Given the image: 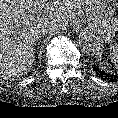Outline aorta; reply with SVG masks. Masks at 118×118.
Listing matches in <instances>:
<instances>
[{
    "mask_svg": "<svg viewBox=\"0 0 118 118\" xmlns=\"http://www.w3.org/2000/svg\"><path fill=\"white\" fill-rule=\"evenodd\" d=\"M79 42L84 52L91 56L102 54V43L91 33H82L79 36Z\"/></svg>",
    "mask_w": 118,
    "mask_h": 118,
    "instance_id": "aorta-1",
    "label": "aorta"
}]
</instances>
